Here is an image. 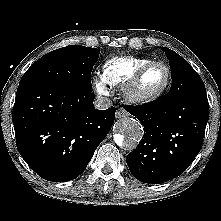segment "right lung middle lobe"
Listing matches in <instances>:
<instances>
[{"label": "right lung middle lobe", "mask_w": 221, "mask_h": 221, "mask_svg": "<svg viewBox=\"0 0 221 221\" xmlns=\"http://www.w3.org/2000/svg\"><path fill=\"white\" fill-rule=\"evenodd\" d=\"M100 51L70 45L47 53L23 75L19 85L33 83L92 92L91 71Z\"/></svg>", "instance_id": "dd1d6c3e"}]
</instances>
